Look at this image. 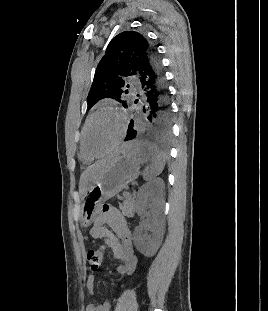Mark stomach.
<instances>
[{
    "mask_svg": "<svg viewBox=\"0 0 268 311\" xmlns=\"http://www.w3.org/2000/svg\"><path fill=\"white\" fill-rule=\"evenodd\" d=\"M146 153L147 145L135 149L126 145L123 154L117 156L92 182L84 193L80 207L81 226L89 227L101 205L138 178L141 164L139 159L143 158Z\"/></svg>",
    "mask_w": 268,
    "mask_h": 311,
    "instance_id": "1",
    "label": "stomach"
}]
</instances>
